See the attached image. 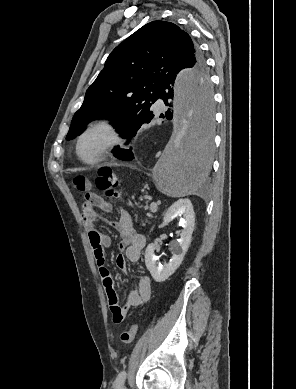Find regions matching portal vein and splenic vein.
Here are the masks:
<instances>
[{
  "label": "portal vein and splenic vein",
  "mask_w": 296,
  "mask_h": 389,
  "mask_svg": "<svg viewBox=\"0 0 296 389\" xmlns=\"http://www.w3.org/2000/svg\"><path fill=\"white\" fill-rule=\"evenodd\" d=\"M151 209L156 211L157 210V204L156 203H152L151 205Z\"/></svg>",
  "instance_id": "obj_1"
}]
</instances>
